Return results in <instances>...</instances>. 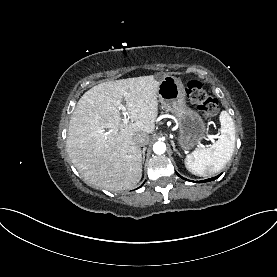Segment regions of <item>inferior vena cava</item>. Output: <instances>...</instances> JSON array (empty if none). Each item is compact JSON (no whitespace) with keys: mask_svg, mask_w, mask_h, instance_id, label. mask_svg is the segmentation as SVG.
I'll list each match as a JSON object with an SVG mask.
<instances>
[{"mask_svg":"<svg viewBox=\"0 0 277 277\" xmlns=\"http://www.w3.org/2000/svg\"><path fill=\"white\" fill-rule=\"evenodd\" d=\"M134 140L139 146H146L149 142V136L146 133H138Z\"/></svg>","mask_w":277,"mask_h":277,"instance_id":"inferior-vena-cava-1","label":"inferior vena cava"}]
</instances>
